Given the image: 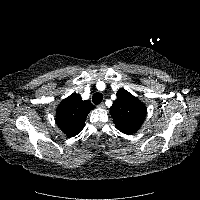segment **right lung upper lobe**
<instances>
[{"label":"right lung upper lobe","mask_w":200,"mask_h":200,"mask_svg":"<svg viewBox=\"0 0 200 200\" xmlns=\"http://www.w3.org/2000/svg\"><path fill=\"white\" fill-rule=\"evenodd\" d=\"M93 108L89 100L83 101L79 94L73 93L59 104L56 122L68 137H74L82 131L86 117Z\"/></svg>","instance_id":"1"}]
</instances>
